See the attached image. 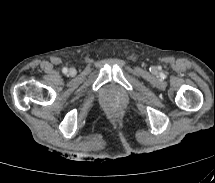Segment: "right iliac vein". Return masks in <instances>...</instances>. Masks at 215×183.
<instances>
[{
	"label": "right iliac vein",
	"instance_id": "63e3f726",
	"mask_svg": "<svg viewBox=\"0 0 215 183\" xmlns=\"http://www.w3.org/2000/svg\"><path fill=\"white\" fill-rule=\"evenodd\" d=\"M75 73H76V71H75V69H73V68H71L70 70H69V74L70 75H75Z\"/></svg>",
	"mask_w": 215,
	"mask_h": 183
}]
</instances>
